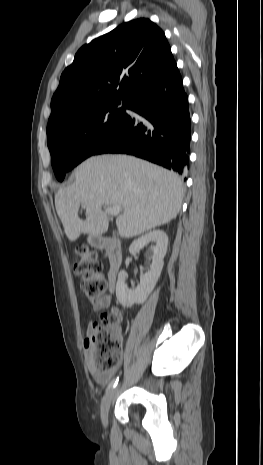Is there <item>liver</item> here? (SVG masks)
I'll return each mask as SVG.
<instances>
[{
	"label": "liver",
	"mask_w": 263,
	"mask_h": 465,
	"mask_svg": "<svg viewBox=\"0 0 263 465\" xmlns=\"http://www.w3.org/2000/svg\"><path fill=\"white\" fill-rule=\"evenodd\" d=\"M74 182L55 195V207L70 241L82 233L101 236L109 221L104 206L120 205L116 226L132 238L166 224L179 213L184 197L181 178L162 167L128 155H99L74 170ZM82 205L86 219L78 217Z\"/></svg>",
	"instance_id": "liver-1"
}]
</instances>
